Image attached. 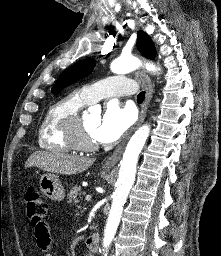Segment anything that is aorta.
Here are the masks:
<instances>
[{"instance_id": "762f6f07", "label": "aorta", "mask_w": 221, "mask_h": 256, "mask_svg": "<svg viewBox=\"0 0 221 256\" xmlns=\"http://www.w3.org/2000/svg\"><path fill=\"white\" fill-rule=\"evenodd\" d=\"M139 65L140 62L134 57L121 56L111 63L110 69L115 74H125L135 70ZM146 69L153 72L157 70L153 64H146ZM149 132V125L146 124L141 126L131 137L123 154V158L120 163L119 176L116 183V190L112 196V206L104 232L103 246L106 249L112 242L119 225L123 206L135 181L139 154L145 145ZM105 256H107V254Z\"/></svg>"}]
</instances>
